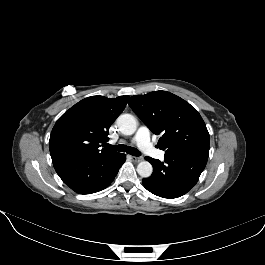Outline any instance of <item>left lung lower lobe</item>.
I'll return each instance as SVG.
<instances>
[{"label":"left lung lower lobe","instance_id":"obj_1","mask_svg":"<svg viewBox=\"0 0 265 265\" xmlns=\"http://www.w3.org/2000/svg\"><path fill=\"white\" fill-rule=\"evenodd\" d=\"M209 146L165 154L164 162L151 157L145 159L153 166L151 177L142 180L151 193L163 198H177L186 194L198 181L204 170Z\"/></svg>","mask_w":265,"mask_h":265}]
</instances>
